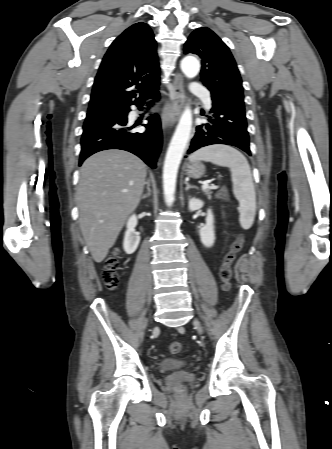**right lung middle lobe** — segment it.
<instances>
[{"instance_id":"dd1d6c3e","label":"right lung middle lobe","mask_w":332,"mask_h":449,"mask_svg":"<svg viewBox=\"0 0 332 449\" xmlns=\"http://www.w3.org/2000/svg\"><path fill=\"white\" fill-rule=\"evenodd\" d=\"M120 111H121V109H115V110L106 111V112L87 113L86 119L94 118V117H97V116H100V115H102V114L109 113V112H116V113H118V112H120Z\"/></svg>"}]
</instances>
